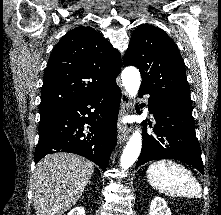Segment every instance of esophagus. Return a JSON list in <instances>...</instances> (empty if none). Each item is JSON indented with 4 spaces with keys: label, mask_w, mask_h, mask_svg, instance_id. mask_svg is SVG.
<instances>
[{
    "label": "esophagus",
    "mask_w": 221,
    "mask_h": 215,
    "mask_svg": "<svg viewBox=\"0 0 221 215\" xmlns=\"http://www.w3.org/2000/svg\"><path fill=\"white\" fill-rule=\"evenodd\" d=\"M129 106H130L129 96L126 91H123L122 97H121V106H120V111H119L120 117L128 113ZM129 133H130L129 126L119 122L118 123V141L120 144L124 142L125 140H127Z\"/></svg>",
    "instance_id": "obj_1"
}]
</instances>
